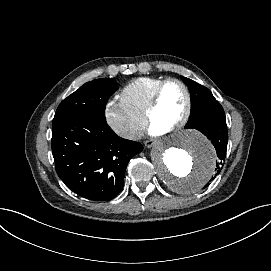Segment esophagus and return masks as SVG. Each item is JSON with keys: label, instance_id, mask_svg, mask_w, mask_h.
I'll use <instances>...</instances> for the list:
<instances>
[{"label": "esophagus", "instance_id": "obj_1", "mask_svg": "<svg viewBox=\"0 0 271 271\" xmlns=\"http://www.w3.org/2000/svg\"><path fill=\"white\" fill-rule=\"evenodd\" d=\"M156 143V139H149L144 142L147 148H151Z\"/></svg>", "mask_w": 271, "mask_h": 271}]
</instances>
